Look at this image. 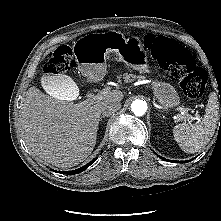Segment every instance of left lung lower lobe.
Segmentation results:
<instances>
[{
	"label": "left lung lower lobe",
	"instance_id": "1",
	"mask_svg": "<svg viewBox=\"0 0 221 221\" xmlns=\"http://www.w3.org/2000/svg\"><path fill=\"white\" fill-rule=\"evenodd\" d=\"M160 157V156H159ZM161 158V157H160ZM161 159H164V158H161ZM166 160V159H164ZM192 160V159H191ZM191 160H187V161H170V162H177V163H186V162H189Z\"/></svg>",
	"mask_w": 221,
	"mask_h": 221
}]
</instances>
